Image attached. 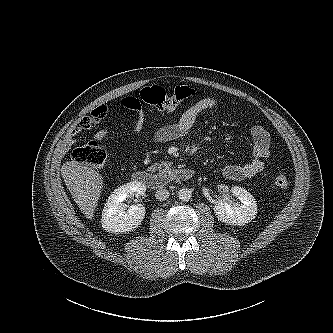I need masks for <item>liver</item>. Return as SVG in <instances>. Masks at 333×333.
<instances>
[{
  "label": "liver",
  "mask_w": 333,
  "mask_h": 333,
  "mask_svg": "<svg viewBox=\"0 0 333 333\" xmlns=\"http://www.w3.org/2000/svg\"><path fill=\"white\" fill-rule=\"evenodd\" d=\"M61 175L76 204L91 220L103 188L102 176L92 167L75 160L62 165Z\"/></svg>",
  "instance_id": "obj_1"
}]
</instances>
